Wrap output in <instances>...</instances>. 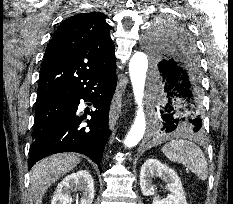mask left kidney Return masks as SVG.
<instances>
[{
  "label": "left kidney",
  "instance_id": "1",
  "mask_svg": "<svg viewBox=\"0 0 233 204\" xmlns=\"http://www.w3.org/2000/svg\"><path fill=\"white\" fill-rule=\"evenodd\" d=\"M161 178L170 191L167 198L156 196L153 179ZM140 188L144 196H154L152 204H187L180 178L174 170L157 159H148L141 167Z\"/></svg>",
  "mask_w": 233,
  "mask_h": 204
}]
</instances>
